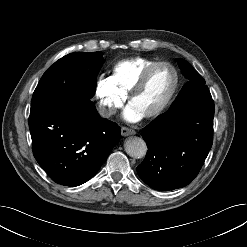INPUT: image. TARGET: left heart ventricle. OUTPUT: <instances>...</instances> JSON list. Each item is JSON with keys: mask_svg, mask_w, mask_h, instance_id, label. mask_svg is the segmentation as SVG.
<instances>
[{"mask_svg": "<svg viewBox=\"0 0 247 247\" xmlns=\"http://www.w3.org/2000/svg\"><path fill=\"white\" fill-rule=\"evenodd\" d=\"M174 82V74L168 66L155 68L142 91L131 101L130 106L143 117L156 110L167 98Z\"/></svg>", "mask_w": 247, "mask_h": 247, "instance_id": "b2bd125f", "label": "left heart ventricle"}]
</instances>
